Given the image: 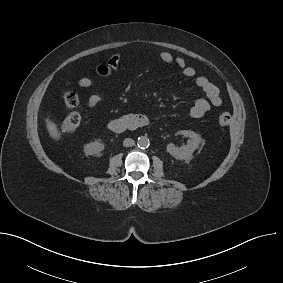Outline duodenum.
<instances>
[{"label": "duodenum", "instance_id": "410a0bca", "mask_svg": "<svg viewBox=\"0 0 283 283\" xmlns=\"http://www.w3.org/2000/svg\"><path fill=\"white\" fill-rule=\"evenodd\" d=\"M148 125V119L141 114H128L109 122L108 127L114 133H122L127 130H136Z\"/></svg>", "mask_w": 283, "mask_h": 283}]
</instances>
